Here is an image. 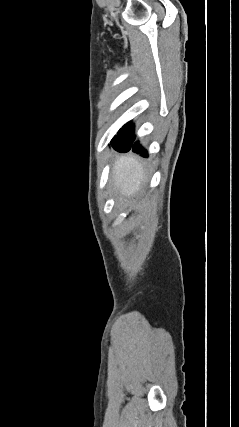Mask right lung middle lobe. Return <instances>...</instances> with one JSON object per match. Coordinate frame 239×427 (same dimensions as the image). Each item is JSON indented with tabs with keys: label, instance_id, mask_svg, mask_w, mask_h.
I'll return each mask as SVG.
<instances>
[{
	"label": "right lung middle lobe",
	"instance_id": "right-lung-middle-lobe-1",
	"mask_svg": "<svg viewBox=\"0 0 239 427\" xmlns=\"http://www.w3.org/2000/svg\"><path fill=\"white\" fill-rule=\"evenodd\" d=\"M133 137V125H125L118 133V137L115 136L112 139V146L115 150H125L129 149L134 141Z\"/></svg>",
	"mask_w": 239,
	"mask_h": 427
}]
</instances>
